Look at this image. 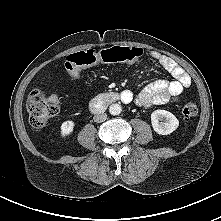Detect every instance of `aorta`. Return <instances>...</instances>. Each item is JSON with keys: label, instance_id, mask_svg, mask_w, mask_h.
<instances>
[{"label": "aorta", "instance_id": "aorta-1", "mask_svg": "<svg viewBox=\"0 0 221 221\" xmlns=\"http://www.w3.org/2000/svg\"><path fill=\"white\" fill-rule=\"evenodd\" d=\"M122 111V107L119 104H112L109 107V112L111 115H119Z\"/></svg>", "mask_w": 221, "mask_h": 221}]
</instances>
